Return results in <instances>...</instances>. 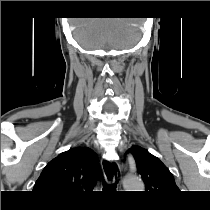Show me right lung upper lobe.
Segmentation results:
<instances>
[{"mask_svg": "<svg viewBox=\"0 0 210 210\" xmlns=\"http://www.w3.org/2000/svg\"><path fill=\"white\" fill-rule=\"evenodd\" d=\"M101 176L97 154L88 147H77L51 160L33 191L57 203H67L92 190Z\"/></svg>", "mask_w": 210, "mask_h": 210, "instance_id": "right-lung-upper-lobe-1", "label": "right lung upper lobe"}]
</instances>
